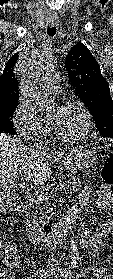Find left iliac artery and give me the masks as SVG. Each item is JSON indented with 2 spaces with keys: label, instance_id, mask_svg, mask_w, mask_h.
Instances as JSON below:
<instances>
[{
  "label": "left iliac artery",
  "instance_id": "left-iliac-artery-1",
  "mask_svg": "<svg viewBox=\"0 0 113 279\" xmlns=\"http://www.w3.org/2000/svg\"><path fill=\"white\" fill-rule=\"evenodd\" d=\"M69 275H70V272L67 271V272L64 274V277H65L66 279H67V278L70 279V276H69Z\"/></svg>",
  "mask_w": 113,
  "mask_h": 279
}]
</instances>
